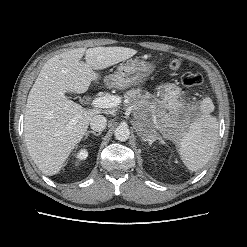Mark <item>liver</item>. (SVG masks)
Listing matches in <instances>:
<instances>
[{"label": "liver", "instance_id": "6515ba94", "mask_svg": "<svg viewBox=\"0 0 247 247\" xmlns=\"http://www.w3.org/2000/svg\"><path fill=\"white\" fill-rule=\"evenodd\" d=\"M137 53L126 47L76 48L50 58L33 84L26 104L24 138L34 163L47 176L61 170L100 109H84L66 92L85 93L99 83L95 70L106 69ZM85 55V61L81 59Z\"/></svg>", "mask_w": 247, "mask_h": 247}]
</instances>
